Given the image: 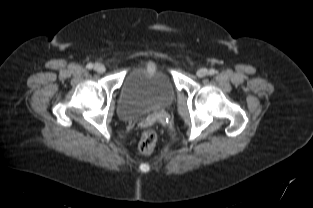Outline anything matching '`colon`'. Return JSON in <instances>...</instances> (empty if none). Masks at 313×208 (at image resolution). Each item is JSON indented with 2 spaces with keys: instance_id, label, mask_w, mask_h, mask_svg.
Segmentation results:
<instances>
[{
  "instance_id": "colon-1",
  "label": "colon",
  "mask_w": 313,
  "mask_h": 208,
  "mask_svg": "<svg viewBox=\"0 0 313 208\" xmlns=\"http://www.w3.org/2000/svg\"><path fill=\"white\" fill-rule=\"evenodd\" d=\"M157 141V133L153 129L146 130L139 142V150L144 155H149L153 152Z\"/></svg>"
}]
</instances>
